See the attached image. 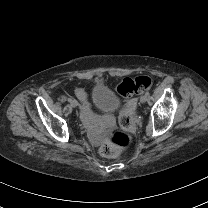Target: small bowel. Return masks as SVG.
I'll use <instances>...</instances> for the list:
<instances>
[{
	"label": "small bowel",
	"instance_id": "small-bowel-1",
	"mask_svg": "<svg viewBox=\"0 0 208 208\" xmlns=\"http://www.w3.org/2000/svg\"><path fill=\"white\" fill-rule=\"evenodd\" d=\"M60 90L68 98H71L75 95L76 98L79 99V119L83 123L88 135L91 136L92 139H99L102 133L111 127L113 119L109 115L104 116L97 126L95 125L90 117V96L85 90L82 89L80 82L74 79H67L62 82ZM62 113L64 116L69 117L72 115L73 110L71 107L66 106L63 108Z\"/></svg>",
	"mask_w": 208,
	"mask_h": 208
}]
</instances>
